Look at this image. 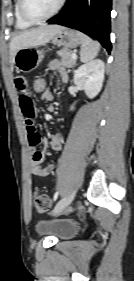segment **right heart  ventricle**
Masks as SVG:
<instances>
[{
	"mask_svg": "<svg viewBox=\"0 0 134 281\" xmlns=\"http://www.w3.org/2000/svg\"><path fill=\"white\" fill-rule=\"evenodd\" d=\"M14 16H15V23L16 27L20 30H25L30 28L33 24L24 20L19 11V1L15 0L14 3Z\"/></svg>",
	"mask_w": 134,
	"mask_h": 281,
	"instance_id": "right-heart-ventricle-1",
	"label": "right heart ventricle"
}]
</instances>
